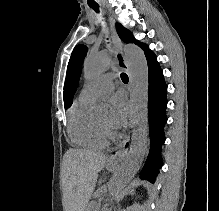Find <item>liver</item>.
Returning <instances> with one entry per match:
<instances>
[{
    "instance_id": "liver-1",
    "label": "liver",
    "mask_w": 219,
    "mask_h": 211,
    "mask_svg": "<svg viewBox=\"0 0 219 211\" xmlns=\"http://www.w3.org/2000/svg\"><path fill=\"white\" fill-rule=\"evenodd\" d=\"M64 205L66 211H84L103 169L107 155L87 149H67L63 157Z\"/></svg>"
}]
</instances>
